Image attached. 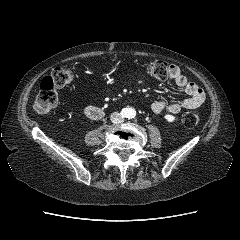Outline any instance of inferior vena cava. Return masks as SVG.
I'll return each instance as SVG.
<instances>
[{"instance_id":"1","label":"inferior vena cava","mask_w":240,"mask_h":240,"mask_svg":"<svg viewBox=\"0 0 240 240\" xmlns=\"http://www.w3.org/2000/svg\"><path fill=\"white\" fill-rule=\"evenodd\" d=\"M111 121L115 124H119L122 123L124 119L118 112H114L111 114Z\"/></svg>"}]
</instances>
